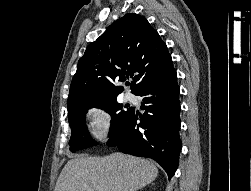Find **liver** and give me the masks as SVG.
Masks as SVG:
<instances>
[{"label":"liver","mask_w":251,"mask_h":191,"mask_svg":"<svg viewBox=\"0 0 251 191\" xmlns=\"http://www.w3.org/2000/svg\"><path fill=\"white\" fill-rule=\"evenodd\" d=\"M72 157L64 165L55 191H136L158 175L156 165L148 159L119 151L106 157Z\"/></svg>","instance_id":"1"}]
</instances>
